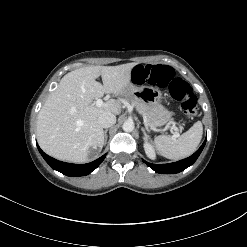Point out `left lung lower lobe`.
Listing matches in <instances>:
<instances>
[{
	"instance_id": "obj_1",
	"label": "left lung lower lobe",
	"mask_w": 247,
	"mask_h": 247,
	"mask_svg": "<svg viewBox=\"0 0 247 247\" xmlns=\"http://www.w3.org/2000/svg\"><path fill=\"white\" fill-rule=\"evenodd\" d=\"M206 143V139L201 145V147L190 157L174 162V163H169V164H152L144 161L150 168H152L155 172L157 173H163V174H175L179 173L189 166H191L199 157L200 153L202 152L204 146Z\"/></svg>"
}]
</instances>
